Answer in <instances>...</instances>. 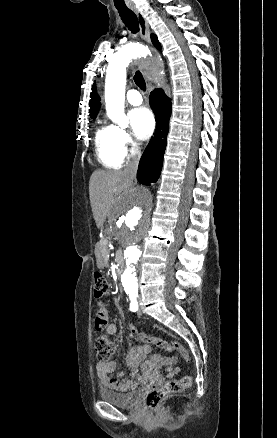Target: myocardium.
Masks as SVG:
<instances>
[{
	"instance_id": "f54148a6",
	"label": "myocardium",
	"mask_w": 277,
	"mask_h": 438,
	"mask_svg": "<svg viewBox=\"0 0 277 438\" xmlns=\"http://www.w3.org/2000/svg\"><path fill=\"white\" fill-rule=\"evenodd\" d=\"M149 50H153V49L149 46ZM162 63H163V60H162Z\"/></svg>"
}]
</instances>
